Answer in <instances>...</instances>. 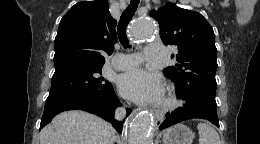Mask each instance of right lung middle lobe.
<instances>
[{"label": "right lung middle lobe", "mask_w": 260, "mask_h": 144, "mask_svg": "<svg viewBox=\"0 0 260 144\" xmlns=\"http://www.w3.org/2000/svg\"><path fill=\"white\" fill-rule=\"evenodd\" d=\"M102 66L71 64L55 69L47 100L66 97L90 98L112 91V84L101 76Z\"/></svg>", "instance_id": "right-lung-middle-lobe-1"}]
</instances>
